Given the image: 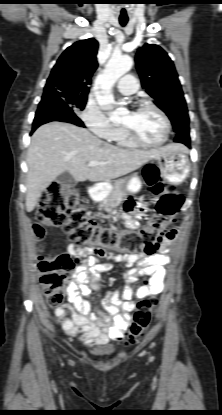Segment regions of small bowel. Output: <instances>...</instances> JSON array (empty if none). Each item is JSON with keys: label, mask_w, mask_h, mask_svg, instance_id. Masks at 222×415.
<instances>
[{"label": "small bowel", "mask_w": 222, "mask_h": 415, "mask_svg": "<svg viewBox=\"0 0 222 415\" xmlns=\"http://www.w3.org/2000/svg\"><path fill=\"white\" fill-rule=\"evenodd\" d=\"M133 211L134 205L128 204L127 225L135 228L138 222L131 216ZM177 233V228L169 230L159 246L160 252L151 255L97 254L69 244L67 250L73 256L77 267L68 286V298L77 313L69 317L67 306L55 310V317L64 333L87 346L122 340L124 331L129 326L130 312L135 308L132 298L141 299L163 291L165 267L170 264L166 252ZM102 257L127 266L124 278L128 286L122 291L108 293L101 300L100 308H97L91 302L93 288L99 274L110 271L113 267L110 261L102 262ZM140 276L147 277V283L136 289L132 288L131 285Z\"/></svg>", "instance_id": "small-bowel-1"}]
</instances>
